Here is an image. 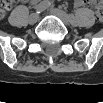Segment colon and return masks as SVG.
Here are the masks:
<instances>
[{
    "instance_id": "obj_1",
    "label": "colon",
    "mask_w": 103,
    "mask_h": 103,
    "mask_svg": "<svg viewBox=\"0 0 103 103\" xmlns=\"http://www.w3.org/2000/svg\"><path fill=\"white\" fill-rule=\"evenodd\" d=\"M11 1H4L1 4V14L4 13ZM89 5L92 6L96 12L99 21H103V4L100 1H90Z\"/></svg>"
}]
</instances>
